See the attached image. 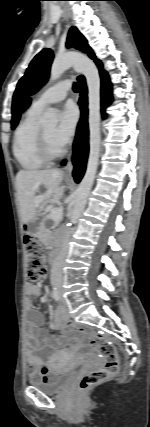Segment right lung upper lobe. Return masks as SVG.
I'll use <instances>...</instances> for the list:
<instances>
[{
    "instance_id": "1",
    "label": "right lung upper lobe",
    "mask_w": 150,
    "mask_h": 427,
    "mask_svg": "<svg viewBox=\"0 0 150 427\" xmlns=\"http://www.w3.org/2000/svg\"><path fill=\"white\" fill-rule=\"evenodd\" d=\"M29 104H30V99H28V100L26 101L25 106H24V109H26V108L29 106Z\"/></svg>"
}]
</instances>
